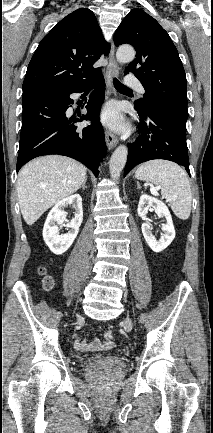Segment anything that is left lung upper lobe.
<instances>
[{
  "mask_svg": "<svg viewBox=\"0 0 213 433\" xmlns=\"http://www.w3.org/2000/svg\"><path fill=\"white\" fill-rule=\"evenodd\" d=\"M116 46L131 44L136 58L125 73L133 72L145 89L139 108L161 106L188 116L186 75L178 51L168 33L142 9H133L114 35Z\"/></svg>",
  "mask_w": 213,
  "mask_h": 433,
  "instance_id": "5c2ea615",
  "label": "left lung upper lobe"
}]
</instances>
